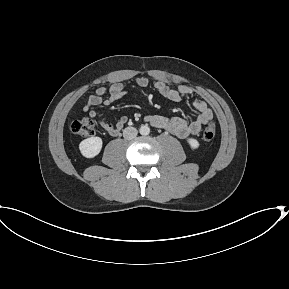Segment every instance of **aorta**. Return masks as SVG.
Returning <instances> with one entry per match:
<instances>
[{
    "label": "aorta",
    "instance_id": "1",
    "mask_svg": "<svg viewBox=\"0 0 289 289\" xmlns=\"http://www.w3.org/2000/svg\"><path fill=\"white\" fill-rule=\"evenodd\" d=\"M141 135H148L150 133V128L148 125H142L139 130Z\"/></svg>",
    "mask_w": 289,
    "mask_h": 289
}]
</instances>
